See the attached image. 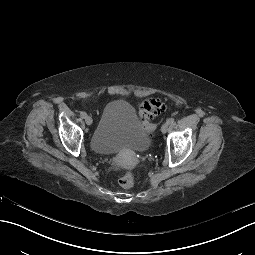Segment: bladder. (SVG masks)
<instances>
[{
  "mask_svg": "<svg viewBox=\"0 0 255 255\" xmlns=\"http://www.w3.org/2000/svg\"><path fill=\"white\" fill-rule=\"evenodd\" d=\"M118 125L124 126L119 130ZM148 131L138 120L132 105L125 100L109 102L91 140L92 150L111 154L131 148L150 146Z\"/></svg>",
  "mask_w": 255,
  "mask_h": 255,
  "instance_id": "bladder-1",
  "label": "bladder"
}]
</instances>
